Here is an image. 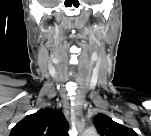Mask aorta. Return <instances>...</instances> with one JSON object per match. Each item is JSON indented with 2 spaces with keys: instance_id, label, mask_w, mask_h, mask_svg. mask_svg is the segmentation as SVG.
I'll use <instances>...</instances> for the list:
<instances>
[{
  "instance_id": "aorta-1",
  "label": "aorta",
  "mask_w": 151,
  "mask_h": 136,
  "mask_svg": "<svg viewBox=\"0 0 151 136\" xmlns=\"http://www.w3.org/2000/svg\"><path fill=\"white\" fill-rule=\"evenodd\" d=\"M88 135H95V133L94 132H89V133H87Z\"/></svg>"
}]
</instances>
